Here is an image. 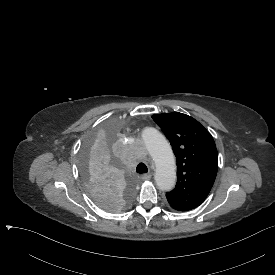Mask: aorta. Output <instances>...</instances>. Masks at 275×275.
Masks as SVG:
<instances>
[{
	"label": "aorta",
	"instance_id": "1",
	"mask_svg": "<svg viewBox=\"0 0 275 275\" xmlns=\"http://www.w3.org/2000/svg\"><path fill=\"white\" fill-rule=\"evenodd\" d=\"M146 154L156 167L154 179L159 190L170 191L176 184L175 159L170 145L161 130L146 127L142 132Z\"/></svg>",
	"mask_w": 275,
	"mask_h": 275
}]
</instances>
